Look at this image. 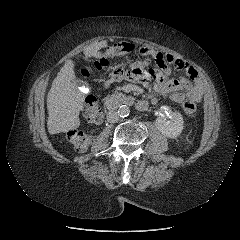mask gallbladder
I'll list each match as a JSON object with an SVG mask.
<instances>
[{
    "mask_svg": "<svg viewBox=\"0 0 240 240\" xmlns=\"http://www.w3.org/2000/svg\"><path fill=\"white\" fill-rule=\"evenodd\" d=\"M75 84L79 87L83 85V81L81 80H75Z\"/></svg>",
    "mask_w": 240,
    "mask_h": 240,
    "instance_id": "gallbladder-1",
    "label": "gallbladder"
}]
</instances>
